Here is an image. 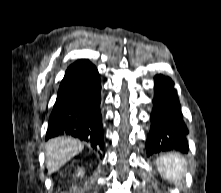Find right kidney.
<instances>
[{
  "instance_id": "right-kidney-1",
  "label": "right kidney",
  "mask_w": 221,
  "mask_h": 193,
  "mask_svg": "<svg viewBox=\"0 0 221 193\" xmlns=\"http://www.w3.org/2000/svg\"><path fill=\"white\" fill-rule=\"evenodd\" d=\"M77 176L79 177V176H83V170L81 169V168H79V170H78V173H77Z\"/></svg>"
}]
</instances>
